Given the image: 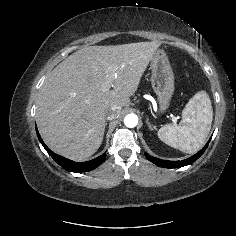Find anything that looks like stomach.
<instances>
[{
	"label": "stomach",
	"mask_w": 236,
	"mask_h": 236,
	"mask_svg": "<svg viewBox=\"0 0 236 236\" xmlns=\"http://www.w3.org/2000/svg\"><path fill=\"white\" fill-rule=\"evenodd\" d=\"M151 84L159 102V112H165L174 92V73L164 50L158 49L151 58Z\"/></svg>",
	"instance_id": "0dacf381"
}]
</instances>
